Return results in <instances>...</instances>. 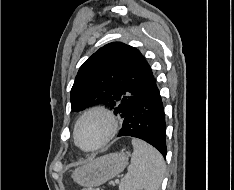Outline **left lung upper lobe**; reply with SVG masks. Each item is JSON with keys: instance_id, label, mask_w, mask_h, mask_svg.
<instances>
[{"instance_id": "5c2ea615", "label": "left lung upper lobe", "mask_w": 234, "mask_h": 190, "mask_svg": "<svg viewBox=\"0 0 234 190\" xmlns=\"http://www.w3.org/2000/svg\"><path fill=\"white\" fill-rule=\"evenodd\" d=\"M151 68L134 47L109 43L90 56L80 67L71 89L74 111L104 104L122 118L130 103L146 87Z\"/></svg>"}]
</instances>
